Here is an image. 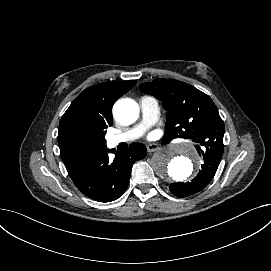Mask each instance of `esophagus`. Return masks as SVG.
Wrapping results in <instances>:
<instances>
[{"label":"esophagus","mask_w":271,"mask_h":271,"mask_svg":"<svg viewBox=\"0 0 271 271\" xmlns=\"http://www.w3.org/2000/svg\"><path fill=\"white\" fill-rule=\"evenodd\" d=\"M146 147H147L148 152H155L159 148L158 144H156V143H150Z\"/></svg>","instance_id":"obj_1"}]
</instances>
